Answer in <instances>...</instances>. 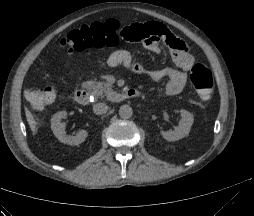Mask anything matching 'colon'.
<instances>
[{
    "mask_svg": "<svg viewBox=\"0 0 254 216\" xmlns=\"http://www.w3.org/2000/svg\"><path fill=\"white\" fill-rule=\"evenodd\" d=\"M120 27L117 21L94 22L70 32L60 40V46L68 54H74L87 48H104L118 45L117 30ZM192 85L199 96L207 101L211 97L214 81L211 71L200 63H193L189 68ZM30 105L37 111L48 108L55 99V91L50 88H30L26 92Z\"/></svg>",
    "mask_w": 254,
    "mask_h": 216,
    "instance_id": "colon-1",
    "label": "colon"
}]
</instances>
